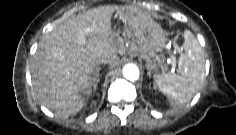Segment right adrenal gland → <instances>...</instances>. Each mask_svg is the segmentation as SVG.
<instances>
[{"instance_id":"2a0ac1e0","label":"right adrenal gland","mask_w":236,"mask_h":135,"mask_svg":"<svg viewBox=\"0 0 236 135\" xmlns=\"http://www.w3.org/2000/svg\"><path fill=\"white\" fill-rule=\"evenodd\" d=\"M99 71H100V68H96L95 71H94V77L92 79V87H93V91L96 92L97 90V85L100 81V78H99ZM92 92V89H90V93Z\"/></svg>"}]
</instances>
